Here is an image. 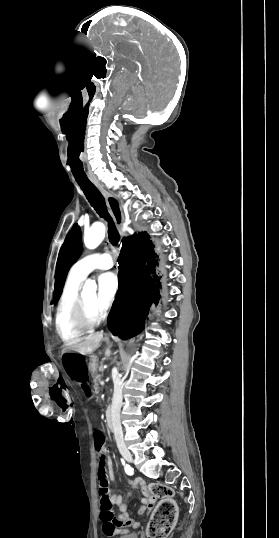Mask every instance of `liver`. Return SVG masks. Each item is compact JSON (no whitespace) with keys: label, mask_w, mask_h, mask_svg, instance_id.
I'll list each match as a JSON object with an SVG mask.
<instances>
[{"label":"liver","mask_w":279,"mask_h":538,"mask_svg":"<svg viewBox=\"0 0 279 538\" xmlns=\"http://www.w3.org/2000/svg\"><path fill=\"white\" fill-rule=\"evenodd\" d=\"M103 340V334H93V336H88L87 340L84 342H79V344H74V346H69L70 350H75L79 354H93L97 348L100 346V342Z\"/></svg>","instance_id":"obj_1"}]
</instances>
